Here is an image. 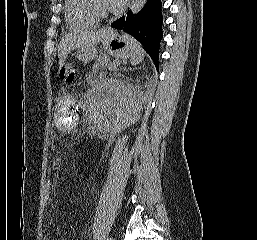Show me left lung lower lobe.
Segmentation results:
<instances>
[{
    "label": "left lung lower lobe",
    "instance_id": "obj_1",
    "mask_svg": "<svg viewBox=\"0 0 257 240\" xmlns=\"http://www.w3.org/2000/svg\"><path fill=\"white\" fill-rule=\"evenodd\" d=\"M161 0H147L145 6L138 14L122 16L111 24V27L121 29L133 36L150 55L157 70H159V45L163 38Z\"/></svg>",
    "mask_w": 257,
    "mask_h": 240
}]
</instances>
